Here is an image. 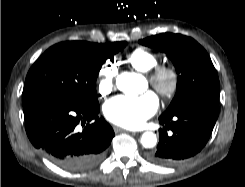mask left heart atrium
Listing matches in <instances>:
<instances>
[{"label":"left heart atrium","mask_w":245,"mask_h":187,"mask_svg":"<svg viewBox=\"0 0 245 187\" xmlns=\"http://www.w3.org/2000/svg\"><path fill=\"white\" fill-rule=\"evenodd\" d=\"M158 106L157 95L147 91L136 97L116 96L105 103L103 112L106 119L116 125L137 128L157 111Z\"/></svg>","instance_id":"obj_1"}]
</instances>
